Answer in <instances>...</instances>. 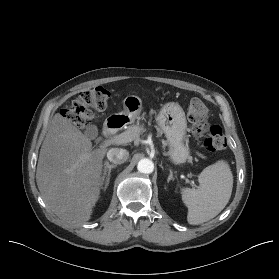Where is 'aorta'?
I'll use <instances>...</instances> for the list:
<instances>
[{"label": "aorta", "instance_id": "aorta-1", "mask_svg": "<svg viewBox=\"0 0 279 279\" xmlns=\"http://www.w3.org/2000/svg\"><path fill=\"white\" fill-rule=\"evenodd\" d=\"M137 169L140 173L150 174L154 170V164L150 159L144 158L138 162Z\"/></svg>", "mask_w": 279, "mask_h": 279}]
</instances>
